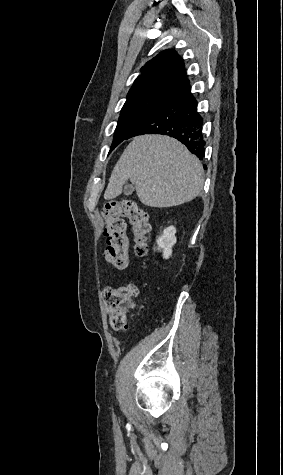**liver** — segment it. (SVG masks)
Wrapping results in <instances>:
<instances>
[{
    "label": "liver",
    "instance_id": "liver-1",
    "mask_svg": "<svg viewBox=\"0 0 283 475\" xmlns=\"http://www.w3.org/2000/svg\"><path fill=\"white\" fill-rule=\"evenodd\" d=\"M202 172L200 160L175 138L138 136L114 166L104 200L120 196L130 180L145 206H178L200 194L204 184Z\"/></svg>",
    "mask_w": 283,
    "mask_h": 475
}]
</instances>
